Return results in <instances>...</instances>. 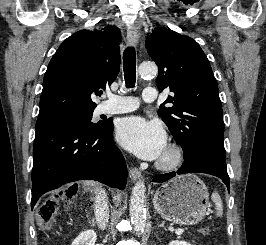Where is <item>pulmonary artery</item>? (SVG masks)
<instances>
[{"mask_svg": "<svg viewBox=\"0 0 266 245\" xmlns=\"http://www.w3.org/2000/svg\"><path fill=\"white\" fill-rule=\"evenodd\" d=\"M143 92V101H157L158 92L153 91V86H146ZM108 101L101 105V112L104 114H117V113H127L132 112L141 105L140 96H119L112 93L107 94ZM128 99V100H123Z\"/></svg>", "mask_w": 266, "mask_h": 245, "instance_id": "obj_1", "label": "pulmonary artery"}]
</instances>
